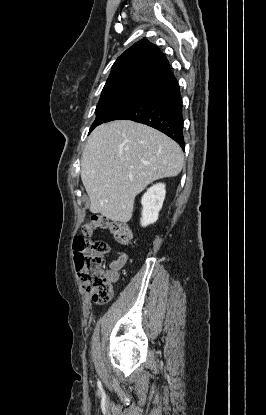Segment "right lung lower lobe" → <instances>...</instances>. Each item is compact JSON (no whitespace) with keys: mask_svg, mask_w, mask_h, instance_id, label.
I'll return each mask as SVG.
<instances>
[{"mask_svg":"<svg viewBox=\"0 0 266 415\" xmlns=\"http://www.w3.org/2000/svg\"><path fill=\"white\" fill-rule=\"evenodd\" d=\"M126 119L151 126L175 140L183 149L182 98L176 79L161 85L140 101L124 108L109 121Z\"/></svg>","mask_w":266,"mask_h":415,"instance_id":"obj_1","label":"right lung lower lobe"}]
</instances>
